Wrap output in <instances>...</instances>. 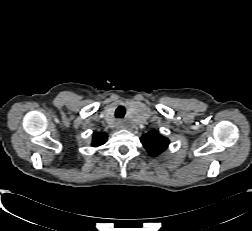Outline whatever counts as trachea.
<instances>
[{
  "label": "trachea",
  "instance_id": "trachea-1",
  "mask_svg": "<svg viewBox=\"0 0 252 231\" xmlns=\"http://www.w3.org/2000/svg\"><path fill=\"white\" fill-rule=\"evenodd\" d=\"M125 115V107L119 106L115 111V117L116 118H123Z\"/></svg>",
  "mask_w": 252,
  "mask_h": 231
}]
</instances>
